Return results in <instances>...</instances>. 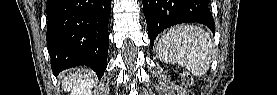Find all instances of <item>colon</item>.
<instances>
[{
    "label": "colon",
    "instance_id": "obj_1",
    "mask_svg": "<svg viewBox=\"0 0 277 95\" xmlns=\"http://www.w3.org/2000/svg\"><path fill=\"white\" fill-rule=\"evenodd\" d=\"M182 82L185 86L190 87L193 84V77L189 73H185L182 77Z\"/></svg>",
    "mask_w": 277,
    "mask_h": 95
}]
</instances>
